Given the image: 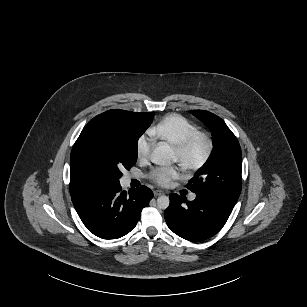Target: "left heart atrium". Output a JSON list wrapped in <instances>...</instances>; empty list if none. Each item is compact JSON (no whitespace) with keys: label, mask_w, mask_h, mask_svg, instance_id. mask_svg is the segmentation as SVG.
Wrapping results in <instances>:
<instances>
[{"label":"left heart atrium","mask_w":307,"mask_h":307,"mask_svg":"<svg viewBox=\"0 0 307 307\" xmlns=\"http://www.w3.org/2000/svg\"><path fill=\"white\" fill-rule=\"evenodd\" d=\"M181 177L182 168L175 165H155L148 172L149 180L161 186H168Z\"/></svg>","instance_id":"left-heart-atrium-1"}]
</instances>
